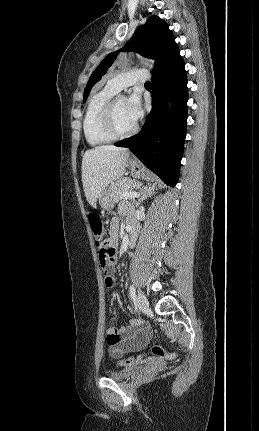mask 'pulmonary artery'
<instances>
[{"mask_svg": "<svg viewBox=\"0 0 259 431\" xmlns=\"http://www.w3.org/2000/svg\"><path fill=\"white\" fill-rule=\"evenodd\" d=\"M149 74L145 69H132L126 72L115 74L107 81V86L119 92L123 88L130 86L136 82H146Z\"/></svg>", "mask_w": 259, "mask_h": 431, "instance_id": "pulmonary-artery-1", "label": "pulmonary artery"}]
</instances>
